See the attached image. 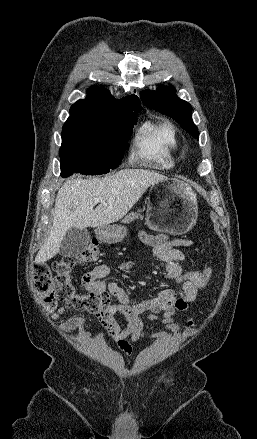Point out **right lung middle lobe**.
Instances as JSON below:
<instances>
[{
  "instance_id": "dd1d6c3e",
  "label": "right lung middle lobe",
  "mask_w": 257,
  "mask_h": 439,
  "mask_svg": "<svg viewBox=\"0 0 257 439\" xmlns=\"http://www.w3.org/2000/svg\"><path fill=\"white\" fill-rule=\"evenodd\" d=\"M137 113L120 119L69 117L62 129L59 151L61 176L68 177L74 172L97 175L115 169L122 161Z\"/></svg>"
}]
</instances>
